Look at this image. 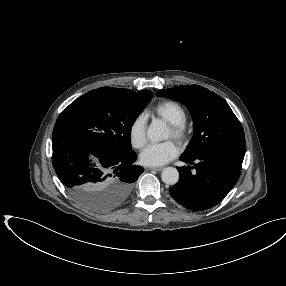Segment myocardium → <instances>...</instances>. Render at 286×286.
<instances>
[{"label": "myocardium", "mask_w": 286, "mask_h": 286, "mask_svg": "<svg viewBox=\"0 0 286 286\" xmlns=\"http://www.w3.org/2000/svg\"><path fill=\"white\" fill-rule=\"evenodd\" d=\"M170 130L172 132V137L181 143L185 142L190 134V130L185 123L170 124Z\"/></svg>", "instance_id": "obj_1"}]
</instances>
